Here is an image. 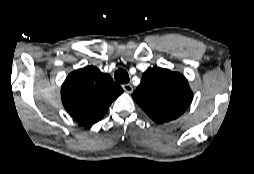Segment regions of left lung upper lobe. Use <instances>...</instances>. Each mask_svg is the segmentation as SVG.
Returning a JSON list of instances; mask_svg holds the SVG:
<instances>
[{"mask_svg": "<svg viewBox=\"0 0 254 174\" xmlns=\"http://www.w3.org/2000/svg\"><path fill=\"white\" fill-rule=\"evenodd\" d=\"M133 99L157 123L178 118L188 108L193 93L180 73L149 68L132 94Z\"/></svg>", "mask_w": 254, "mask_h": 174, "instance_id": "1", "label": "left lung upper lobe"}]
</instances>
